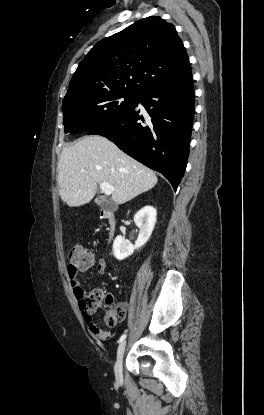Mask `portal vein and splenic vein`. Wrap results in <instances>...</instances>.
<instances>
[{
	"instance_id": "obj_1",
	"label": "portal vein and splenic vein",
	"mask_w": 264,
	"mask_h": 415,
	"mask_svg": "<svg viewBox=\"0 0 264 415\" xmlns=\"http://www.w3.org/2000/svg\"><path fill=\"white\" fill-rule=\"evenodd\" d=\"M100 189L105 195H111L115 188L107 182L100 183Z\"/></svg>"
}]
</instances>
